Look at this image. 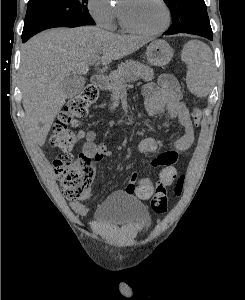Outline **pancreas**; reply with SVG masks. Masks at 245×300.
<instances>
[{
    "label": "pancreas",
    "mask_w": 245,
    "mask_h": 300,
    "mask_svg": "<svg viewBox=\"0 0 245 300\" xmlns=\"http://www.w3.org/2000/svg\"><path fill=\"white\" fill-rule=\"evenodd\" d=\"M110 80L109 90L112 92V99L114 101L111 109L117 106L119 93L125 83L143 79L144 81H152L154 79L153 69L140 62L129 60L121 64L116 71L109 74Z\"/></svg>",
    "instance_id": "cf45deb5"
}]
</instances>
